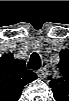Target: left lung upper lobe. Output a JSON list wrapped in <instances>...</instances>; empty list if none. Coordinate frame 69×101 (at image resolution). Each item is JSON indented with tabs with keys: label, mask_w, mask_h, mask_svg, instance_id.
<instances>
[{
	"label": "left lung upper lobe",
	"mask_w": 69,
	"mask_h": 101,
	"mask_svg": "<svg viewBox=\"0 0 69 101\" xmlns=\"http://www.w3.org/2000/svg\"><path fill=\"white\" fill-rule=\"evenodd\" d=\"M58 66L62 71L63 77L59 80L51 79V77H49V79L51 80L49 84L50 87L52 88V91H54L57 87L63 86L65 84V81H67V76H68L67 65L63 61H60Z\"/></svg>",
	"instance_id": "1"
}]
</instances>
